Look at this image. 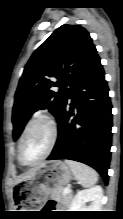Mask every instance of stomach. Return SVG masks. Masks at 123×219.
<instances>
[{
	"label": "stomach",
	"instance_id": "1",
	"mask_svg": "<svg viewBox=\"0 0 123 219\" xmlns=\"http://www.w3.org/2000/svg\"><path fill=\"white\" fill-rule=\"evenodd\" d=\"M71 168L63 161H47L40 165L34 175L24 180L16 195L20 200L16 211H36L45 202L46 197L54 190L61 189L72 179Z\"/></svg>",
	"mask_w": 123,
	"mask_h": 219
}]
</instances>
